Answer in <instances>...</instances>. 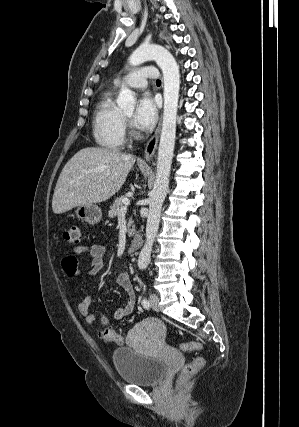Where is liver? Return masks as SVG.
Wrapping results in <instances>:
<instances>
[{"instance_id": "liver-1", "label": "liver", "mask_w": 299, "mask_h": 427, "mask_svg": "<svg viewBox=\"0 0 299 427\" xmlns=\"http://www.w3.org/2000/svg\"><path fill=\"white\" fill-rule=\"evenodd\" d=\"M135 157L118 150L87 147L78 151L58 178L52 209L62 214L85 204L108 200L120 190Z\"/></svg>"}]
</instances>
